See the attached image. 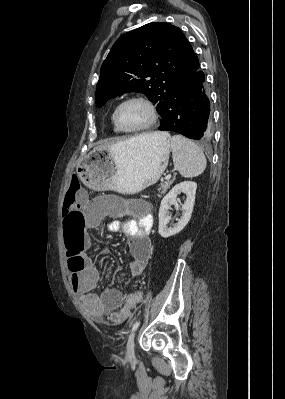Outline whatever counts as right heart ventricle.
<instances>
[{"label": "right heart ventricle", "mask_w": 285, "mask_h": 399, "mask_svg": "<svg viewBox=\"0 0 285 399\" xmlns=\"http://www.w3.org/2000/svg\"><path fill=\"white\" fill-rule=\"evenodd\" d=\"M111 120H112V123H113V125H114V131H115V132H120V130L117 128V126H116V124H115V122H114V113L112 114Z\"/></svg>", "instance_id": "e07e8e85"}]
</instances>
